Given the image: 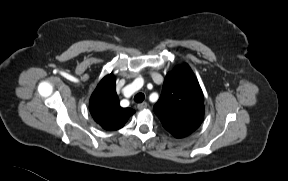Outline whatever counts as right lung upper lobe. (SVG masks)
Instances as JSON below:
<instances>
[{
  "label": "right lung upper lobe",
  "instance_id": "cb5924a9",
  "mask_svg": "<svg viewBox=\"0 0 288 181\" xmlns=\"http://www.w3.org/2000/svg\"><path fill=\"white\" fill-rule=\"evenodd\" d=\"M90 112L93 119L105 130H117L124 126L135 113L131 108H122L115 89V76H105L90 98Z\"/></svg>",
  "mask_w": 288,
  "mask_h": 181
}]
</instances>
